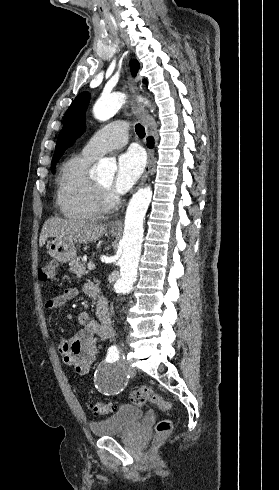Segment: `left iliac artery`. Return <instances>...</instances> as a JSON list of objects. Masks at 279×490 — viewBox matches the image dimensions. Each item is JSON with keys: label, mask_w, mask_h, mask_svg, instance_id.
<instances>
[{"label": "left iliac artery", "mask_w": 279, "mask_h": 490, "mask_svg": "<svg viewBox=\"0 0 279 490\" xmlns=\"http://www.w3.org/2000/svg\"><path fill=\"white\" fill-rule=\"evenodd\" d=\"M108 355H107V360L110 362V361H116L118 360L119 358V350L116 346H111L109 349H108Z\"/></svg>", "instance_id": "obj_1"}]
</instances>
